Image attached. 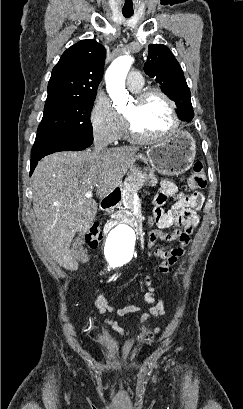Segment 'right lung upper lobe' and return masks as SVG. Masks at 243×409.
<instances>
[{
    "instance_id": "obj_1",
    "label": "right lung upper lobe",
    "mask_w": 243,
    "mask_h": 409,
    "mask_svg": "<svg viewBox=\"0 0 243 409\" xmlns=\"http://www.w3.org/2000/svg\"><path fill=\"white\" fill-rule=\"evenodd\" d=\"M105 57V48L91 39L68 48L52 70L46 102L95 98Z\"/></svg>"
}]
</instances>
